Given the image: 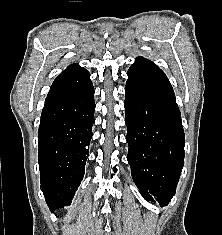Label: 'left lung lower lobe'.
Listing matches in <instances>:
<instances>
[{"label": "left lung lower lobe", "instance_id": "obj_1", "mask_svg": "<svg viewBox=\"0 0 222 235\" xmlns=\"http://www.w3.org/2000/svg\"><path fill=\"white\" fill-rule=\"evenodd\" d=\"M127 75L124 106L132 178L147 201L165 206L184 165L181 114L168 78L153 62L138 57Z\"/></svg>", "mask_w": 222, "mask_h": 235}]
</instances>
